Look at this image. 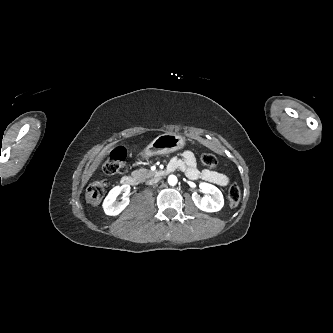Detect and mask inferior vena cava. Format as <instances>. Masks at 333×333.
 Instances as JSON below:
<instances>
[{
  "label": "inferior vena cava",
  "mask_w": 333,
  "mask_h": 333,
  "mask_svg": "<svg viewBox=\"0 0 333 333\" xmlns=\"http://www.w3.org/2000/svg\"><path fill=\"white\" fill-rule=\"evenodd\" d=\"M158 181H159V178H154V179L149 180V181L147 182V184H149V185H153V184L157 183Z\"/></svg>",
  "instance_id": "obj_1"
}]
</instances>
